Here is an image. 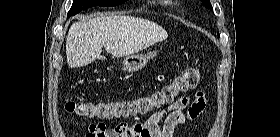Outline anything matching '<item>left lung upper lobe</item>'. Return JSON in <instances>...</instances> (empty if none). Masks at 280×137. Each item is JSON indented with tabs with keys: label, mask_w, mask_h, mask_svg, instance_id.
<instances>
[{
	"label": "left lung upper lobe",
	"mask_w": 280,
	"mask_h": 137,
	"mask_svg": "<svg viewBox=\"0 0 280 137\" xmlns=\"http://www.w3.org/2000/svg\"><path fill=\"white\" fill-rule=\"evenodd\" d=\"M202 3L206 8L213 10V7L210 4V0H202Z\"/></svg>",
	"instance_id": "5c2ea615"
}]
</instances>
